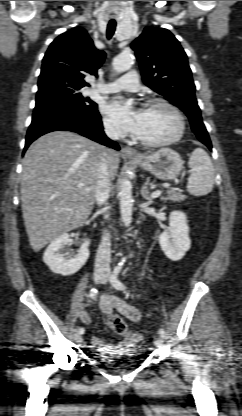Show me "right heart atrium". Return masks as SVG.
I'll return each mask as SVG.
<instances>
[{
    "label": "right heart atrium",
    "mask_w": 242,
    "mask_h": 416,
    "mask_svg": "<svg viewBox=\"0 0 242 416\" xmlns=\"http://www.w3.org/2000/svg\"><path fill=\"white\" fill-rule=\"evenodd\" d=\"M105 131L110 135L114 137L121 136L122 132L118 125L111 120L110 118H105L103 121Z\"/></svg>",
    "instance_id": "right-heart-atrium-1"
}]
</instances>
